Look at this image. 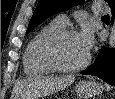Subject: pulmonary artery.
Instances as JSON below:
<instances>
[{
  "instance_id": "obj_1",
  "label": "pulmonary artery",
  "mask_w": 115,
  "mask_h": 99,
  "mask_svg": "<svg viewBox=\"0 0 115 99\" xmlns=\"http://www.w3.org/2000/svg\"><path fill=\"white\" fill-rule=\"evenodd\" d=\"M93 11L97 14H102V13H107L109 12V8L107 6H104L101 2L95 3L93 6ZM67 17L65 15H59L56 19L55 22L58 24L64 26L67 23Z\"/></svg>"
}]
</instances>
